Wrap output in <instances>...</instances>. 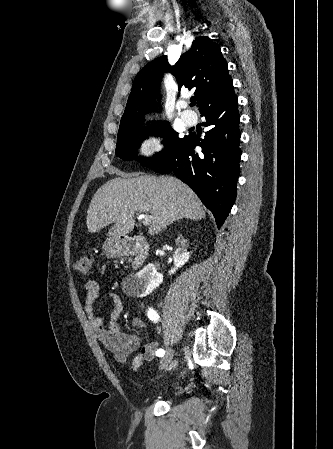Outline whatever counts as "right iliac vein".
<instances>
[{
	"instance_id": "obj_1",
	"label": "right iliac vein",
	"mask_w": 333,
	"mask_h": 449,
	"mask_svg": "<svg viewBox=\"0 0 333 449\" xmlns=\"http://www.w3.org/2000/svg\"><path fill=\"white\" fill-rule=\"evenodd\" d=\"M174 356V351L172 349H169L167 353L161 358L160 360V368L164 369L168 366V364L171 362Z\"/></svg>"
}]
</instances>
